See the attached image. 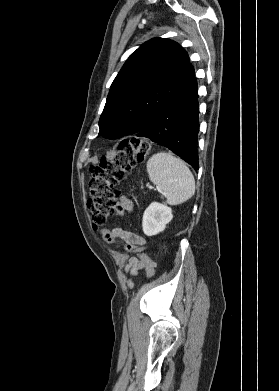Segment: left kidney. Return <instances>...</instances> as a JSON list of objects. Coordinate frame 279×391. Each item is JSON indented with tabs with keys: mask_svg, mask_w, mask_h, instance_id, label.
Masks as SVG:
<instances>
[{
	"mask_svg": "<svg viewBox=\"0 0 279 391\" xmlns=\"http://www.w3.org/2000/svg\"><path fill=\"white\" fill-rule=\"evenodd\" d=\"M172 218V209L170 207L158 202L151 203L144 211L142 219L144 234L153 236L164 231Z\"/></svg>",
	"mask_w": 279,
	"mask_h": 391,
	"instance_id": "left-kidney-1",
	"label": "left kidney"
}]
</instances>
